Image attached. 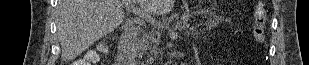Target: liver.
<instances>
[{
	"instance_id": "liver-1",
	"label": "liver",
	"mask_w": 309,
	"mask_h": 65,
	"mask_svg": "<svg viewBox=\"0 0 309 65\" xmlns=\"http://www.w3.org/2000/svg\"><path fill=\"white\" fill-rule=\"evenodd\" d=\"M127 2L138 3L152 15L169 13L174 3L173 0H58L56 24L62 60H73L122 24L123 5ZM126 24L132 25L133 21Z\"/></svg>"
}]
</instances>
